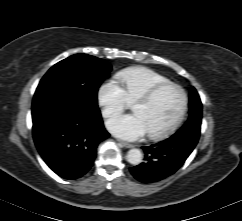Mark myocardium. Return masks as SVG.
<instances>
[{"label":"myocardium","instance_id":"f54148a6","mask_svg":"<svg viewBox=\"0 0 242 221\" xmlns=\"http://www.w3.org/2000/svg\"><path fill=\"white\" fill-rule=\"evenodd\" d=\"M168 88H174L180 92L181 98H182L181 108L179 110L177 117L174 119V121L168 127H166L165 129H163L161 131H158V132L148 133L147 136L151 140L162 139V138L170 135L177 129V127L180 125V123L184 119L185 114L188 109V95H187L185 89L182 86H180L179 84H176L173 82H167V83H163V84H160V85L154 87L149 92H147L143 96L139 97L136 101H134V104H137V103L150 104L163 91H165Z\"/></svg>","mask_w":242,"mask_h":221}]
</instances>
